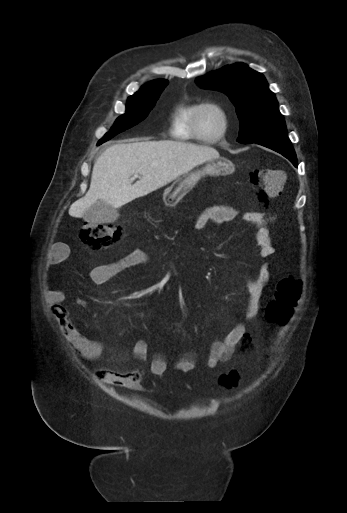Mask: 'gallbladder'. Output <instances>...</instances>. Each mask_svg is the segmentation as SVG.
Masks as SVG:
<instances>
[{
    "label": "gallbladder",
    "instance_id": "bac80fb5",
    "mask_svg": "<svg viewBox=\"0 0 347 513\" xmlns=\"http://www.w3.org/2000/svg\"><path fill=\"white\" fill-rule=\"evenodd\" d=\"M118 216L116 208L99 200L84 212L83 219L90 224L113 223Z\"/></svg>",
    "mask_w": 347,
    "mask_h": 513
}]
</instances>
